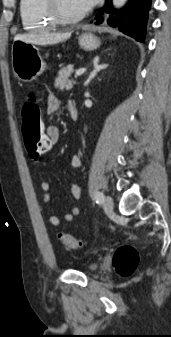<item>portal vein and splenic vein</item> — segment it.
Returning a JSON list of instances; mask_svg holds the SVG:
<instances>
[{
  "label": "portal vein and splenic vein",
  "mask_w": 171,
  "mask_h": 337,
  "mask_svg": "<svg viewBox=\"0 0 171 337\" xmlns=\"http://www.w3.org/2000/svg\"><path fill=\"white\" fill-rule=\"evenodd\" d=\"M86 71L85 68L78 69L75 73V77L81 76Z\"/></svg>",
  "instance_id": "obj_1"
}]
</instances>
